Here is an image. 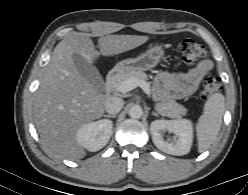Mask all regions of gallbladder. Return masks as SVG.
<instances>
[{
    "mask_svg": "<svg viewBox=\"0 0 248 195\" xmlns=\"http://www.w3.org/2000/svg\"><path fill=\"white\" fill-rule=\"evenodd\" d=\"M76 69L82 77L89 81L97 91L104 89V81L98 69L78 54L73 55Z\"/></svg>",
    "mask_w": 248,
    "mask_h": 195,
    "instance_id": "obj_1",
    "label": "gallbladder"
}]
</instances>
